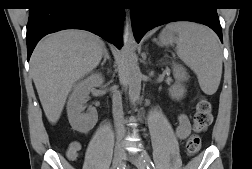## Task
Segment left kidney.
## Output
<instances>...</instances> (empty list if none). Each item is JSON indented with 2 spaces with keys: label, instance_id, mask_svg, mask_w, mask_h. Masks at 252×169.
I'll return each instance as SVG.
<instances>
[{
  "label": "left kidney",
  "instance_id": "obj_1",
  "mask_svg": "<svg viewBox=\"0 0 252 169\" xmlns=\"http://www.w3.org/2000/svg\"><path fill=\"white\" fill-rule=\"evenodd\" d=\"M173 72L177 82L169 89V94L172 99L179 100L184 96L185 93V88L181 82L184 80L186 72L184 68L179 65H174Z\"/></svg>",
  "mask_w": 252,
  "mask_h": 169
}]
</instances>
